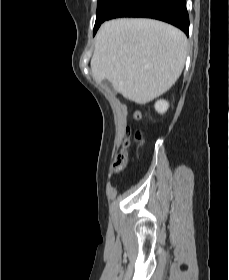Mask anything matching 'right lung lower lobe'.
<instances>
[{"label": "right lung lower lobe", "instance_id": "obj_1", "mask_svg": "<svg viewBox=\"0 0 229 280\" xmlns=\"http://www.w3.org/2000/svg\"><path fill=\"white\" fill-rule=\"evenodd\" d=\"M116 17L158 19L178 27L186 35L189 34L186 0H116L102 23Z\"/></svg>", "mask_w": 229, "mask_h": 280}]
</instances>
